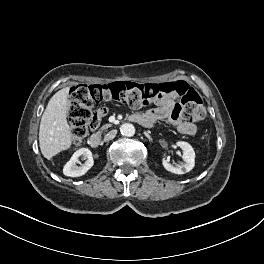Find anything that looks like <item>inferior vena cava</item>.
Segmentation results:
<instances>
[{
    "mask_svg": "<svg viewBox=\"0 0 264 264\" xmlns=\"http://www.w3.org/2000/svg\"><path fill=\"white\" fill-rule=\"evenodd\" d=\"M116 134H117L116 130H112V131L108 132L104 137V141L107 142V141L114 139Z\"/></svg>",
    "mask_w": 264,
    "mask_h": 264,
    "instance_id": "1",
    "label": "inferior vena cava"
}]
</instances>
